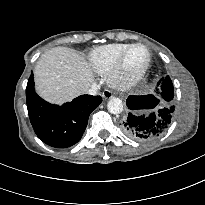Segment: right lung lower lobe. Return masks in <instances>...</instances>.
<instances>
[{"label": "right lung lower lobe", "instance_id": "98d812e1", "mask_svg": "<svg viewBox=\"0 0 205 205\" xmlns=\"http://www.w3.org/2000/svg\"><path fill=\"white\" fill-rule=\"evenodd\" d=\"M27 108L36 135L47 145L66 148L83 135L91 112L102 102L100 96L82 95L62 106L50 104L34 91L33 74L26 87Z\"/></svg>", "mask_w": 205, "mask_h": 205}]
</instances>
